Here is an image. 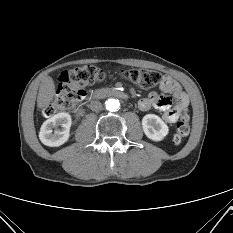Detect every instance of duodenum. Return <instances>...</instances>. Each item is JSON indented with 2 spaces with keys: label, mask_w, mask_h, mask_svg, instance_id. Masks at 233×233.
Segmentation results:
<instances>
[{
  "label": "duodenum",
  "mask_w": 233,
  "mask_h": 233,
  "mask_svg": "<svg viewBox=\"0 0 233 233\" xmlns=\"http://www.w3.org/2000/svg\"><path fill=\"white\" fill-rule=\"evenodd\" d=\"M115 96L121 99H128V95L118 89H99L90 95V99H100L105 97Z\"/></svg>",
  "instance_id": "410a0bca"
}]
</instances>
